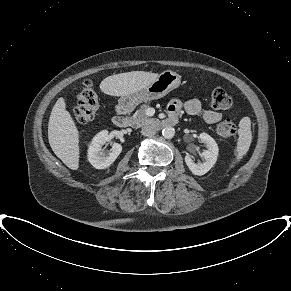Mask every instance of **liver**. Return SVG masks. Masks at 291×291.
Instances as JSON below:
<instances>
[{"instance_id": "obj_1", "label": "liver", "mask_w": 291, "mask_h": 291, "mask_svg": "<svg viewBox=\"0 0 291 291\" xmlns=\"http://www.w3.org/2000/svg\"><path fill=\"white\" fill-rule=\"evenodd\" d=\"M159 74L132 71L106 77L100 83L103 93L123 96L135 93L150 85ZM49 144L55 155L72 170L79 167V132L66 103L60 97L55 103L48 123Z\"/></svg>"}]
</instances>
